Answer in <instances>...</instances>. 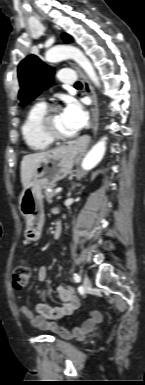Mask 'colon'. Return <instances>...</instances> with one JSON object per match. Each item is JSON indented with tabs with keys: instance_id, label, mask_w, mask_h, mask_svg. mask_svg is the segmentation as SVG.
Listing matches in <instances>:
<instances>
[{
	"instance_id": "5ec220e1",
	"label": "colon",
	"mask_w": 145,
	"mask_h": 385,
	"mask_svg": "<svg viewBox=\"0 0 145 385\" xmlns=\"http://www.w3.org/2000/svg\"><path fill=\"white\" fill-rule=\"evenodd\" d=\"M31 278V271L29 266L24 262H19L13 272V285L16 289H24Z\"/></svg>"
}]
</instances>
